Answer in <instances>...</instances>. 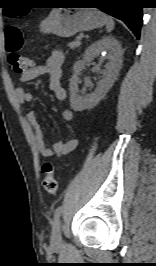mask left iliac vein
Returning a JSON list of instances; mask_svg holds the SVG:
<instances>
[{
	"label": "left iliac vein",
	"instance_id": "left-iliac-vein-1",
	"mask_svg": "<svg viewBox=\"0 0 156 266\" xmlns=\"http://www.w3.org/2000/svg\"><path fill=\"white\" fill-rule=\"evenodd\" d=\"M62 243L61 235V222L58 220L53 224L52 235H51V244L55 247L60 246Z\"/></svg>",
	"mask_w": 156,
	"mask_h": 266
}]
</instances>
